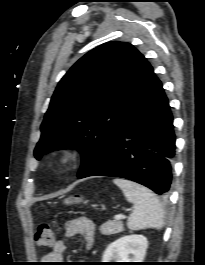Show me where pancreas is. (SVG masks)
<instances>
[{"instance_id": "obj_1", "label": "pancreas", "mask_w": 205, "mask_h": 265, "mask_svg": "<svg viewBox=\"0 0 205 265\" xmlns=\"http://www.w3.org/2000/svg\"><path fill=\"white\" fill-rule=\"evenodd\" d=\"M124 230L123 223L117 220H109L100 226V232L103 235H112Z\"/></svg>"}]
</instances>
